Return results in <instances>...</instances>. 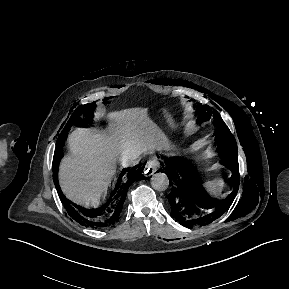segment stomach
Listing matches in <instances>:
<instances>
[{"instance_id":"obj_1","label":"stomach","mask_w":289,"mask_h":289,"mask_svg":"<svg viewBox=\"0 0 289 289\" xmlns=\"http://www.w3.org/2000/svg\"><path fill=\"white\" fill-rule=\"evenodd\" d=\"M163 114H164V117H166V119H167V121L169 122V124H170L174 129H176L177 127H176V125L174 124L171 115H170L166 110H163Z\"/></svg>"}]
</instances>
